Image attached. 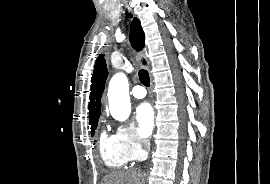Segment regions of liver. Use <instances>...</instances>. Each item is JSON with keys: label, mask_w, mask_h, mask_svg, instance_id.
Masks as SVG:
<instances>
[{"label": "liver", "mask_w": 270, "mask_h": 184, "mask_svg": "<svg viewBox=\"0 0 270 184\" xmlns=\"http://www.w3.org/2000/svg\"><path fill=\"white\" fill-rule=\"evenodd\" d=\"M141 175L136 171L114 172L106 175L101 184H139Z\"/></svg>", "instance_id": "1"}]
</instances>
